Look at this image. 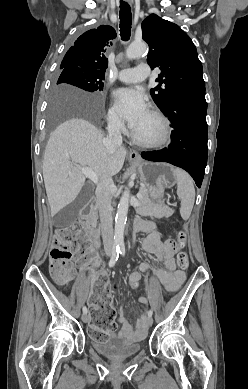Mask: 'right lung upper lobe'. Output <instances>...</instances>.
<instances>
[{
	"mask_svg": "<svg viewBox=\"0 0 248 389\" xmlns=\"http://www.w3.org/2000/svg\"><path fill=\"white\" fill-rule=\"evenodd\" d=\"M116 38L113 27L99 26L97 29L83 33L67 51L60 67H76L105 76L108 60L105 47Z\"/></svg>",
	"mask_w": 248,
	"mask_h": 389,
	"instance_id": "1",
	"label": "right lung upper lobe"
}]
</instances>
